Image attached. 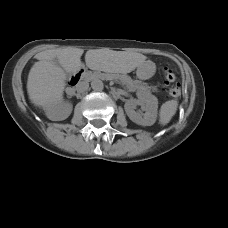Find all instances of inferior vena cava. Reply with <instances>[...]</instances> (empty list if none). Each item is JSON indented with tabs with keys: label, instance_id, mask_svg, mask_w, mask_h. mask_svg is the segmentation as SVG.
Wrapping results in <instances>:
<instances>
[{
	"label": "inferior vena cava",
	"instance_id": "inferior-vena-cava-1",
	"mask_svg": "<svg viewBox=\"0 0 228 228\" xmlns=\"http://www.w3.org/2000/svg\"><path fill=\"white\" fill-rule=\"evenodd\" d=\"M89 91V85L86 83H79L74 89V95L77 98H80L81 96L85 95Z\"/></svg>",
	"mask_w": 228,
	"mask_h": 228
}]
</instances>
